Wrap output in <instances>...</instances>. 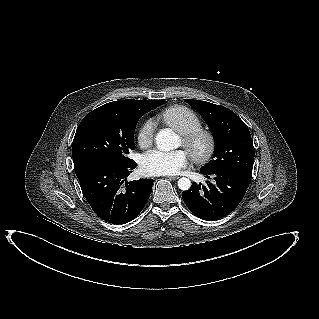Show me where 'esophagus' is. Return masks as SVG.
Returning <instances> with one entry per match:
<instances>
[{
    "mask_svg": "<svg viewBox=\"0 0 319 319\" xmlns=\"http://www.w3.org/2000/svg\"><path fill=\"white\" fill-rule=\"evenodd\" d=\"M169 180H176L179 178V176H168L167 177Z\"/></svg>",
    "mask_w": 319,
    "mask_h": 319,
    "instance_id": "1",
    "label": "esophagus"
}]
</instances>
